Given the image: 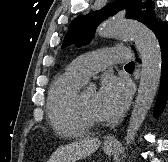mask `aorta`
Listing matches in <instances>:
<instances>
[{"instance_id":"obj_1","label":"aorta","mask_w":168,"mask_h":162,"mask_svg":"<svg viewBox=\"0 0 168 162\" xmlns=\"http://www.w3.org/2000/svg\"><path fill=\"white\" fill-rule=\"evenodd\" d=\"M97 34L105 38H131L141 55L140 85L125 137L128 146L135 139L155 98L161 77V49L154 33L136 21L112 18L98 27Z\"/></svg>"}]
</instances>
